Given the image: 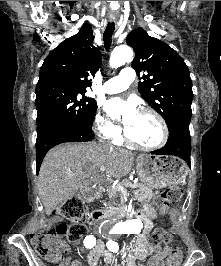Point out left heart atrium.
<instances>
[{"label":"left heart atrium","instance_id":"left-heart-atrium-1","mask_svg":"<svg viewBox=\"0 0 221 266\" xmlns=\"http://www.w3.org/2000/svg\"><path fill=\"white\" fill-rule=\"evenodd\" d=\"M105 109L107 113L113 118L122 116L125 126L134 121V119L139 114L134 101H124L120 98L110 99L106 103Z\"/></svg>","mask_w":221,"mask_h":266}]
</instances>
